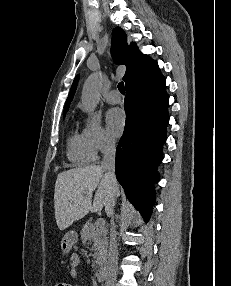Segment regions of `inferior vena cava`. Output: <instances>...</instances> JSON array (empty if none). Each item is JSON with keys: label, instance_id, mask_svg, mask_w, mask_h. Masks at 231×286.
Returning a JSON list of instances; mask_svg holds the SVG:
<instances>
[{"label": "inferior vena cava", "instance_id": "obj_1", "mask_svg": "<svg viewBox=\"0 0 231 286\" xmlns=\"http://www.w3.org/2000/svg\"><path fill=\"white\" fill-rule=\"evenodd\" d=\"M115 152V142L112 140H106L104 146V157L101 163V167L105 171V177L111 186L117 183L115 176ZM113 207V200H110L105 209L107 216L111 217L110 241L105 273V286H115L118 269V248L115 224L113 220Z\"/></svg>", "mask_w": 231, "mask_h": 286}]
</instances>
